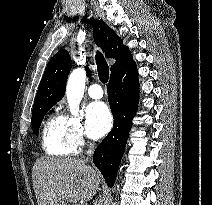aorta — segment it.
<instances>
[{"label":"aorta","mask_w":212,"mask_h":205,"mask_svg":"<svg viewBox=\"0 0 212 205\" xmlns=\"http://www.w3.org/2000/svg\"><path fill=\"white\" fill-rule=\"evenodd\" d=\"M86 72L81 68L75 69L68 78L66 97L72 114H77L84 95Z\"/></svg>","instance_id":"1"}]
</instances>
